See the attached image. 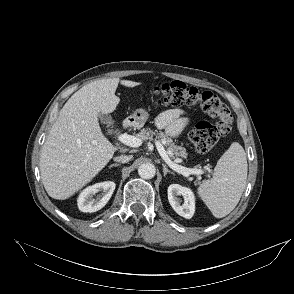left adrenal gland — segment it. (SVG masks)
I'll return each mask as SVG.
<instances>
[{"instance_id": "a2214340", "label": "left adrenal gland", "mask_w": 294, "mask_h": 294, "mask_svg": "<svg viewBox=\"0 0 294 294\" xmlns=\"http://www.w3.org/2000/svg\"><path fill=\"white\" fill-rule=\"evenodd\" d=\"M163 166V172H164V176L167 175V173H170V174H173L174 175V172L170 171L165 164H162Z\"/></svg>"}]
</instances>
